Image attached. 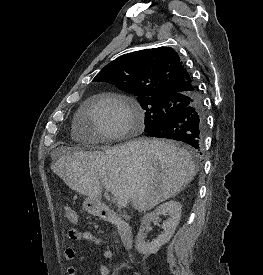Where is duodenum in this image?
Returning a JSON list of instances; mask_svg holds the SVG:
<instances>
[{"label":"duodenum","mask_w":263,"mask_h":275,"mask_svg":"<svg viewBox=\"0 0 263 275\" xmlns=\"http://www.w3.org/2000/svg\"><path fill=\"white\" fill-rule=\"evenodd\" d=\"M101 218L117 227L118 234L120 236L123 246L129 249L132 245V229L131 226L122 218L118 217L108 207H102L100 209Z\"/></svg>","instance_id":"obj_1"}]
</instances>
